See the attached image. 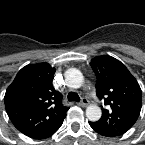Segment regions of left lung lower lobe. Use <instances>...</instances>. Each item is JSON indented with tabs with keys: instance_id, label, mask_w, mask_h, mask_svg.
<instances>
[{
	"instance_id": "left-lung-lower-lobe-1",
	"label": "left lung lower lobe",
	"mask_w": 145,
	"mask_h": 145,
	"mask_svg": "<svg viewBox=\"0 0 145 145\" xmlns=\"http://www.w3.org/2000/svg\"><path fill=\"white\" fill-rule=\"evenodd\" d=\"M89 124H90V126H91L97 133H99L100 135L106 136V137H114V136H112L111 134H109V133H107V132H104V131L98 129L96 126H94V125L92 124V122H89Z\"/></svg>"
}]
</instances>
